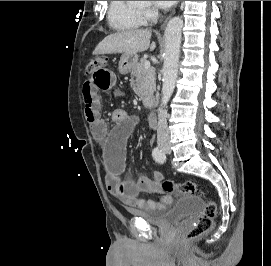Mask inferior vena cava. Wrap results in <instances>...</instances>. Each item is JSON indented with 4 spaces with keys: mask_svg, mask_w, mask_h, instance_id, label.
I'll return each mask as SVG.
<instances>
[{
    "mask_svg": "<svg viewBox=\"0 0 271 266\" xmlns=\"http://www.w3.org/2000/svg\"><path fill=\"white\" fill-rule=\"evenodd\" d=\"M169 129L167 125L166 112L162 108L158 109L157 140L158 142L168 141Z\"/></svg>",
    "mask_w": 271,
    "mask_h": 266,
    "instance_id": "inferior-vena-cava-1",
    "label": "inferior vena cava"
}]
</instances>
